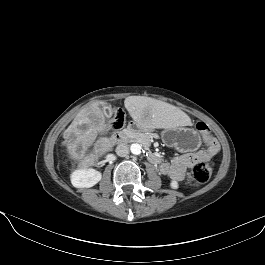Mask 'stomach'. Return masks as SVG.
<instances>
[{
    "instance_id": "stomach-1",
    "label": "stomach",
    "mask_w": 265,
    "mask_h": 265,
    "mask_svg": "<svg viewBox=\"0 0 265 265\" xmlns=\"http://www.w3.org/2000/svg\"><path fill=\"white\" fill-rule=\"evenodd\" d=\"M161 138L165 144L176 148L180 152L195 151L201 142L197 131L185 127L164 129Z\"/></svg>"
}]
</instances>
